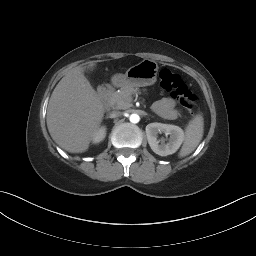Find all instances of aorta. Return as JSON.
I'll use <instances>...</instances> for the list:
<instances>
[{"instance_id": "1", "label": "aorta", "mask_w": 256, "mask_h": 256, "mask_svg": "<svg viewBox=\"0 0 256 256\" xmlns=\"http://www.w3.org/2000/svg\"><path fill=\"white\" fill-rule=\"evenodd\" d=\"M129 120L131 123H138L140 121V117L138 114H131L129 116Z\"/></svg>"}]
</instances>
